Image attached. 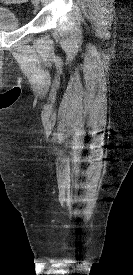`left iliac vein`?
I'll use <instances>...</instances> for the list:
<instances>
[{"label": "left iliac vein", "mask_w": 133, "mask_h": 275, "mask_svg": "<svg viewBox=\"0 0 133 275\" xmlns=\"http://www.w3.org/2000/svg\"><path fill=\"white\" fill-rule=\"evenodd\" d=\"M32 3H33L34 5H37V4L39 3V0H32Z\"/></svg>", "instance_id": "1"}]
</instances>
